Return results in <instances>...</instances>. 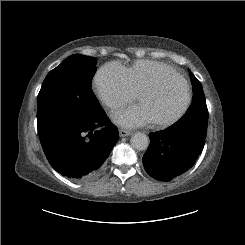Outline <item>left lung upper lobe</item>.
Returning a JSON list of instances; mask_svg holds the SVG:
<instances>
[{
  "instance_id": "5c2ea615",
  "label": "left lung upper lobe",
  "mask_w": 245,
  "mask_h": 245,
  "mask_svg": "<svg viewBox=\"0 0 245 245\" xmlns=\"http://www.w3.org/2000/svg\"><path fill=\"white\" fill-rule=\"evenodd\" d=\"M190 78L193 87V101L186 115L169 127L174 130H188L199 133L206 137L208 123V109L205 101L201 83L190 72Z\"/></svg>"
}]
</instances>
